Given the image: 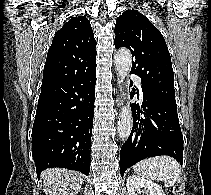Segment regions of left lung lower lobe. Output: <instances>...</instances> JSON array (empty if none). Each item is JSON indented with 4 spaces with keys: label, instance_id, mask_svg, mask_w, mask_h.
I'll use <instances>...</instances> for the list:
<instances>
[{
    "label": "left lung lower lobe",
    "instance_id": "1",
    "mask_svg": "<svg viewBox=\"0 0 211 195\" xmlns=\"http://www.w3.org/2000/svg\"><path fill=\"white\" fill-rule=\"evenodd\" d=\"M142 94L141 110L132 104L133 128L120 151L122 177L128 167L147 157L168 155L183 163V136L176 104L143 87Z\"/></svg>",
    "mask_w": 211,
    "mask_h": 195
}]
</instances>
